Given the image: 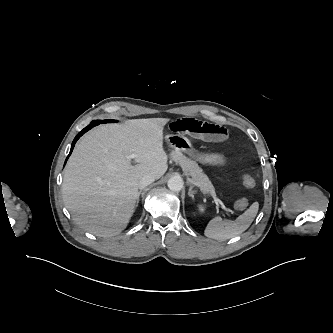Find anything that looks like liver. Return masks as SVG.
<instances>
[{"mask_svg": "<svg viewBox=\"0 0 333 333\" xmlns=\"http://www.w3.org/2000/svg\"><path fill=\"white\" fill-rule=\"evenodd\" d=\"M170 119H133L101 125L76 145L66 165L63 200L84 230L112 237L124 230L135 210L138 183L161 178L168 169L163 129ZM135 166L131 164V155Z\"/></svg>", "mask_w": 333, "mask_h": 333, "instance_id": "6515ba94", "label": "liver"}]
</instances>
